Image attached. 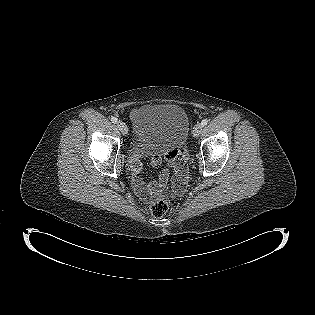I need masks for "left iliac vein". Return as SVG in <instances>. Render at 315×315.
<instances>
[{
  "label": "left iliac vein",
  "mask_w": 315,
  "mask_h": 315,
  "mask_svg": "<svg viewBox=\"0 0 315 315\" xmlns=\"http://www.w3.org/2000/svg\"><path fill=\"white\" fill-rule=\"evenodd\" d=\"M202 129H203V126L201 123H197L194 128H193V136L194 137H199V135L201 134L202 132Z\"/></svg>",
  "instance_id": "4c4485c4"
}]
</instances>
